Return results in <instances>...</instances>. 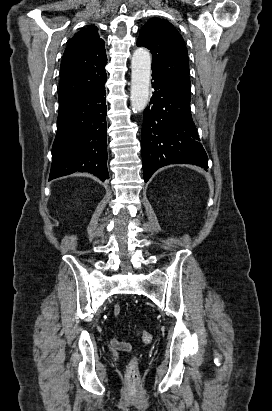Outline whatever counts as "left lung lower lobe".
Returning <instances> with one entry per match:
<instances>
[{"mask_svg": "<svg viewBox=\"0 0 272 411\" xmlns=\"http://www.w3.org/2000/svg\"><path fill=\"white\" fill-rule=\"evenodd\" d=\"M153 96L144 111L141 149L144 180L169 164L208 168L207 155L192 120L190 97L153 76Z\"/></svg>", "mask_w": 272, "mask_h": 411, "instance_id": "1", "label": "left lung lower lobe"}]
</instances>
